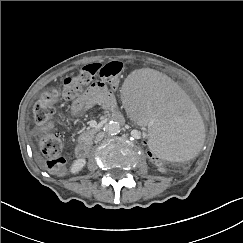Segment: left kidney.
Returning a JSON list of instances; mask_svg holds the SVG:
<instances>
[{
	"mask_svg": "<svg viewBox=\"0 0 243 243\" xmlns=\"http://www.w3.org/2000/svg\"><path fill=\"white\" fill-rule=\"evenodd\" d=\"M158 170H159L161 173H166V169H165V168L160 167Z\"/></svg>",
	"mask_w": 243,
	"mask_h": 243,
	"instance_id": "1",
	"label": "left kidney"
}]
</instances>
